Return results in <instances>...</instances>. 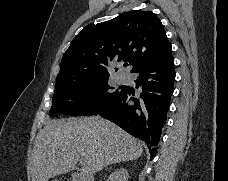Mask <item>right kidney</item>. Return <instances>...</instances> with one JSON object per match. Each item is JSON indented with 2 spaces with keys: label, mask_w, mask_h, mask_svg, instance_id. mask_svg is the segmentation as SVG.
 I'll list each match as a JSON object with an SVG mask.
<instances>
[{
  "label": "right kidney",
  "mask_w": 228,
  "mask_h": 181,
  "mask_svg": "<svg viewBox=\"0 0 228 181\" xmlns=\"http://www.w3.org/2000/svg\"><path fill=\"white\" fill-rule=\"evenodd\" d=\"M128 175L129 173L126 169H118V171L108 177L107 181H128Z\"/></svg>",
  "instance_id": "right-kidney-1"
}]
</instances>
